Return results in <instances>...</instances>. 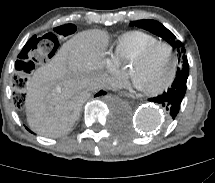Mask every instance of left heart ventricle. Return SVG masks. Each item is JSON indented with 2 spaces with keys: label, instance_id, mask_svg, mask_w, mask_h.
I'll return each mask as SVG.
<instances>
[{
  "label": "left heart ventricle",
  "instance_id": "obj_1",
  "mask_svg": "<svg viewBox=\"0 0 215 183\" xmlns=\"http://www.w3.org/2000/svg\"><path fill=\"white\" fill-rule=\"evenodd\" d=\"M172 69V57L165 47L156 49L145 61L130 65L131 75L147 90L163 85L170 78Z\"/></svg>",
  "mask_w": 215,
  "mask_h": 183
}]
</instances>
